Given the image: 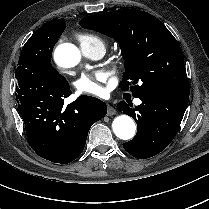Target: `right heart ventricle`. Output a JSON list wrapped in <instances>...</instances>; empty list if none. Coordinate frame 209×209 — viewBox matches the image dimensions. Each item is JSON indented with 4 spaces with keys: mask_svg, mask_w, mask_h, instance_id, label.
Listing matches in <instances>:
<instances>
[{
    "mask_svg": "<svg viewBox=\"0 0 209 209\" xmlns=\"http://www.w3.org/2000/svg\"><path fill=\"white\" fill-rule=\"evenodd\" d=\"M82 49H91L98 46L104 48V42L102 39L92 33H82L78 36Z\"/></svg>",
    "mask_w": 209,
    "mask_h": 209,
    "instance_id": "right-heart-ventricle-1",
    "label": "right heart ventricle"
}]
</instances>
